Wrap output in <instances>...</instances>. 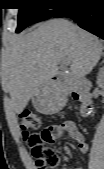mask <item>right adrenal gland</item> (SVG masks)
Here are the masks:
<instances>
[{
    "instance_id": "obj_1",
    "label": "right adrenal gland",
    "mask_w": 104,
    "mask_h": 169,
    "mask_svg": "<svg viewBox=\"0 0 104 169\" xmlns=\"http://www.w3.org/2000/svg\"><path fill=\"white\" fill-rule=\"evenodd\" d=\"M104 64V55L102 56V61L100 63V65H103Z\"/></svg>"
}]
</instances>
